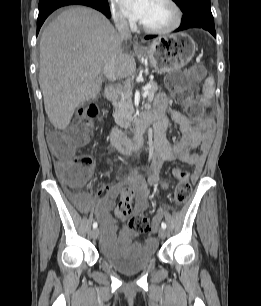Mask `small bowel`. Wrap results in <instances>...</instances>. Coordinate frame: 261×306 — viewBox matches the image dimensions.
<instances>
[{
    "label": "small bowel",
    "instance_id": "1",
    "mask_svg": "<svg viewBox=\"0 0 261 306\" xmlns=\"http://www.w3.org/2000/svg\"><path fill=\"white\" fill-rule=\"evenodd\" d=\"M202 102L208 104L205 98L202 99ZM167 107L168 97L164 92H160L155 98L154 109L151 113L155 121L154 152L150 163L147 165L148 179L145 180L140 171L134 169L124 181L115 186L103 188L100 191V198L95 208L90 195L82 196L79 201L82 209L93 211L95 217L100 221L105 245L112 242L113 239H111L108 231L118 222L110 212L115 206L117 197L122 195L126 188L133 192V198L135 199L132 214H138L145 211L149 206L148 184L161 189L169 188V184L159 177V171L164 162L180 161L192 165L194 167V181L202 172L214 137V121L211 119L195 121L187 115L169 111ZM171 123L176 124L181 132L179 141L174 145H170L166 138V131ZM65 166V163L57 162L56 170L60 172ZM90 169H92L91 162ZM175 174L177 175L178 171H175ZM125 220L126 217H123L119 221L124 222Z\"/></svg>",
    "mask_w": 261,
    "mask_h": 306
}]
</instances>
